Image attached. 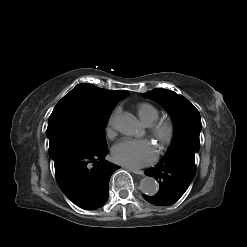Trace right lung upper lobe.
Masks as SVG:
<instances>
[{
	"label": "right lung upper lobe",
	"instance_id": "right-lung-upper-lobe-1",
	"mask_svg": "<svg viewBox=\"0 0 247 247\" xmlns=\"http://www.w3.org/2000/svg\"><path fill=\"white\" fill-rule=\"evenodd\" d=\"M72 91H80L82 93H85L88 96L95 99L96 101L106 105L117 104L119 101H121L129 95L128 91H111L98 88L88 83L80 84L76 86Z\"/></svg>",
	"mask_w": 247,
	"mask_h": 247
}]
</instances>
